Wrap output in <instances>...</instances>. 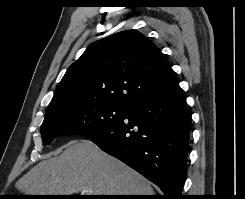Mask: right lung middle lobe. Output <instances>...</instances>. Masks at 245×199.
<instances>
[{
    "label": "right lung middle lobe",
    "mask_w": 245,
    "mask_h": 199,
    "mask_svg": "<svg viewBox=\"0 0 245 199\" xmlns=\"http://www.w3.org/2000/svg\"><path fill=\"white\" fill-rule=\"evenodd\" d=\"M127 107L109 103L77 104L45 116L41 126L43 143L48 145L54 138L78 134L86 138L98 134L118 122Z\"/></svg>",
    "instance_id": "obj_1"
}]
</instances>
